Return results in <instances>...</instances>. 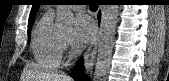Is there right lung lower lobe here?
I'll return each mask as SVG.
<instances>
[{
	"label": "right lung lower lobe",
	"instance_id": "right-lung-lower-lobe-1",
	"mask_svg": "<svg viewBox=\"0 0 169 81\" xmlns=\"http://www.w3.org/2000/svg\"><path fill=\"white\" fill-rule=\"evenodd\" d=\"M82 71H83V59H79L77 64L75 65L72 76L75 80H80L82 78Z\"/></svg>",
	"mask_w": 169,
	"mask_h": 81
}]
</instances>
